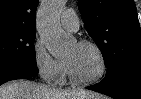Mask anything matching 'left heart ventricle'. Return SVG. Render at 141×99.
Wrapping results in <instances>:
<instances>
[{
	"instance_id": "obj_1",
	"label": "left heart ventricle",
	"mask_w": 141,
	"mask_h": 99,
	"mask_svg": "<svg viewBox=\"0 0 141 99\" xmlns=\"http://www.w3.org/2000/svg\"><path fill=\"white\" fill-rule=\"evenodd\" d=\"M75 75L83 80L92 79L100 72L101 64L97 53L90 47L73 45L65 56Z\"/></svg>"
}]
</instances>
